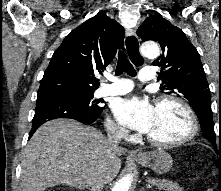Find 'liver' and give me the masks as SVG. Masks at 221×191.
Listing matches in <instances>:
<instances>
[{
  "label": "liver",
  "mask_w": 221,
  "mask_h": 191,
  "mask_svg": "<svg viewBox=\"0 0 221 191\" xmlns=\"http://www.w3.org/2000/svg\"><path fill=\"white\" fill-rule=\"evenodd\" d=\"M127 150L111 146L103 134L71 119L46 122L27 144L22 160L21 191H44L56 185L91 187L103 177L110 183Z\"/></svg>",
  "instance_id": "6515ba94"
}]
</instances>
